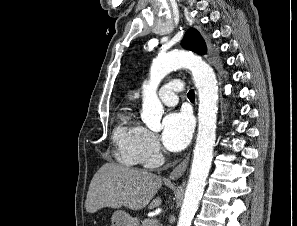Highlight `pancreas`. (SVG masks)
Listing matches in <instances>:
<instances>
[{
  "label": "pancreas",
  "instance_id": "obj_1",
  "mask_svg": "<svg viewBox=\"0 0 297 226\" xmlns=\"http://www.w3.org/2000/svg\"><path fill=\"white\" fill-rule=\"evenodd\" d=\"M141 226H160V223L158 221L155 222L154 219H146L142 222Z\"/></svg>",
  "mask_w": 297,
  "mask_h": 226
}]
</instances>
